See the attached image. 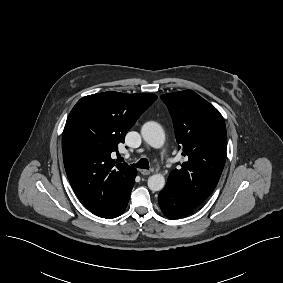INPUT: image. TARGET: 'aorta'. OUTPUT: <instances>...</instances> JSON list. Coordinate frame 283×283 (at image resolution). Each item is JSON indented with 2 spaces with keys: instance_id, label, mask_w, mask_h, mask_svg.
I'll use <instances>...</instances> for the list:
<instances>
[{
  "instance_id": "762f6f07",
  "label": "aorta",
  "mask_w": 283,
  "mask_h": 283,
  "mask_svg": "<svg viewBox=\"0 0 283 283\" xmlns=\"http://www.w3.org/2000/svg\"><path fill=\"white\" fill-rule=\"evenodd\" d=\"M143 139L153 148H161L165 143V133L157 122H146L141 129ZM148 187L151 191H160L165 186L162 174H154L148 178Z\"/></svg>"
}]
</instances>
